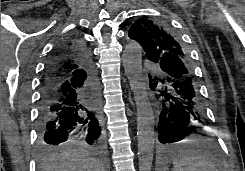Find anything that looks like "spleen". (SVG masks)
Instances as JSON below:
<instances>
[{"label":"spleen","instance_id":"3e777b00","mask_svg":"<svg viewBox=\"0 0 245 171\" xmlns=\"http://www.w3.org/2000/svg\"><path fill=\"white\" fill-rule=\"evenodd\" d=\"M173 165V171H218L209 156L199 151H189L177 156Z\"/></svg>","mask_w":245,"mask_h":171}]
</instances>
